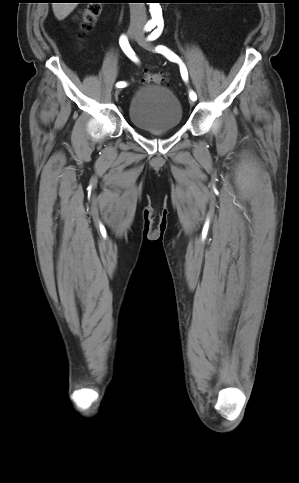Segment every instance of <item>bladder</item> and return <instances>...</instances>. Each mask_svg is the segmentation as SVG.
<instances>
[{
	"label": "bladder",
	"instance_id": "31cf9c89",
	"mask_svg": "<svg viewBox=\"0 0 299 483\" xmlns=\"http://www.w3.org/2000/svg\"><path fill=\"white\" fill-rule=\"evenodd\" d=\"M131 123L150 132L176 129L182 120L181 103L175 94L161 84L138 88L132 95L129 111Z\"/></svg>",
	"mask_w": 299,
	"mask_h": 483
}]
</instances>
